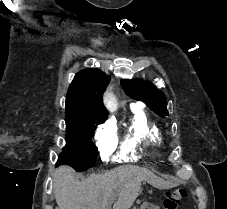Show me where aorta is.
<instances>
[{
    "instance_id": "762f6f07",
    "label": "aorta",
    "mask_w": 227,
    "mask_h": 209,
    "mask_svg": "<svg viewBox=\"0 0 227 209\" xmlns=\"http://www.w3.org/2000/svg\"><path fill=\"white\" fill-rule=\"evenodd\" d=\"M105 104L110 112H115L118 109V104L113 94H107L105 96Z\"/></svg>"
}]
</instances>
